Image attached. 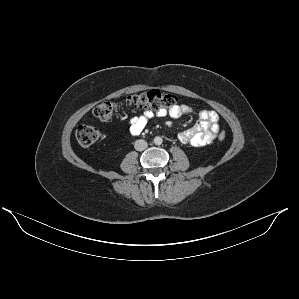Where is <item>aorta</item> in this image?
Here are the masks:
<instances>
[{
	"instance_id": "762f6f07",
	"label": "aorta",
	"mask_w": 299,
	"mask_h": 299,
	"mask_svg": "<svg viewBox=\"0 0 299 299\" xmlns=\"http://www.w3.org/2000/svg\"><path fill=\"white\" fill-rule=\"evenodd\" d=\"M162 138L160 137V136H156L155 138H154V143H155V145H160V144H162Z\"/></svg>"
}]
</instances>
